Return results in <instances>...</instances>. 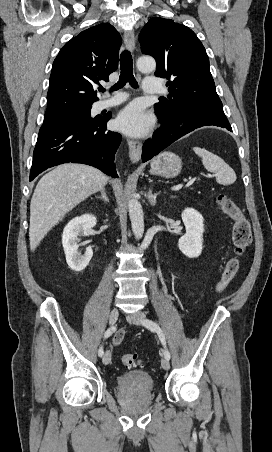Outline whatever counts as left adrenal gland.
I'll return each mask as SVG.
<instances>
[{
    "label": "left adrenal gland",
    "instance_id": "a2214340",
    "mask_svg": "<svg viewBox=\"0 0 272 452\" xmlns=\"http://www.w3.org/2000/svg\"><path fill=\"white\" fill-rule=\"evenodd\" d=\"M159 194H160L159 192L153 194L152 188H151V187L149 188V191H148V193H147V199H148V202H149L152 206H155V204H156V198H157V196H158Z\"/></svg>",
    "mask_w": 272,
    "mask_h": 452
}]
</instances>
